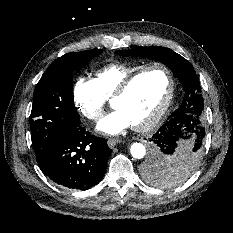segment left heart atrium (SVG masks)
<instances>
[{
  "label": "left heart atrium",
  "instance_id": "39dd6f15",
  "mask_svg": "<svg viewBox=\"0 0 233 233\" xmlns=\"http://www.w3.org/2000/svg\"><path fill=\"white\" fill-rule=\"evenodd\" d=\"M131 125L127 116L120 110L115 109L98 123L97 129L104 134L116 135Z\"/></svg>",
  "mask_w": 233,
  "mask_h": 233
}]
</instances>
